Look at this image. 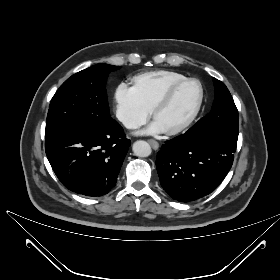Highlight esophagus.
I'll return each mask as SVG.
<instances>
[{"instance_id": "esophagus-1", "label": "esophagus", "mask_w": 280, "mask_h": 280, "mask_svg": "<svg viewBox=\"0 0 280 280\" xmlns=\"http://www.w3.org/2000/svg\"><path fill=\"white\" fill-rule=\"evenodd\" d=\"M147 142L152 146L154 150H157L159 148V143L153 139L147 140Z\"/></svg>"}]
</instances>
